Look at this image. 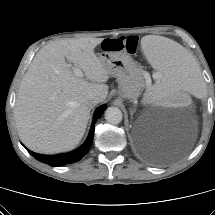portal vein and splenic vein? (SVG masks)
<instances>
[{
	"mask_svg": "<svg viewBox=\"0 0 215 215\" xmlns=\"http://www.w3.org/2000/svg\"><path fill=\"white\" fill-rule=\"evenodd\" d=\"M72 69H73V71H74V73L77 75V76H83V72H82V70L79 68V67H77V66H72Z\"/></svg>",
	"mask_w": 215,
	"mask_h": 215,
	"instance_id": "1",
	"label": "portal vein and splenic vein"
}]
</instances>
